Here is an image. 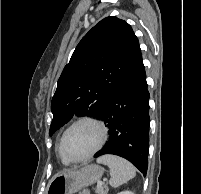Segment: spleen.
Here are the masks:
<instances>
[{
	"instance_id": "1",
	"label": "spleen",
	"mask_w": 201,
	"mask_h": 194,
	"mask_svg": "<svg viewBox=\"0 0 201 194\" xmlns=\"http://www.w3.org/2000/svg\"><path fill=\"white\" fill-rule=\"evenodd\" d=\"M97 163L110 168V185L114 188L126 183L136 175L135 168L127 160L114 155H104L97 159Z\"/></svg>"
}]
</instances>
